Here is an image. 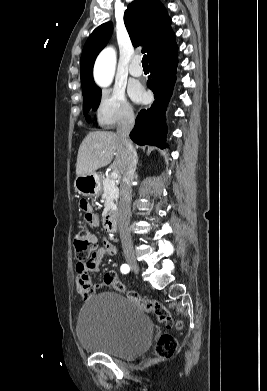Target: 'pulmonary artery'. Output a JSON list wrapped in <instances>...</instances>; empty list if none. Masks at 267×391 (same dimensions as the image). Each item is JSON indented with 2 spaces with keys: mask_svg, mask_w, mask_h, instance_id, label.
Returning a JSON list of instances; mask_svg holds the SVG:
<instances>
[{
  "mask_svg": "<svg viewBox=\"0 0 267 391\" xmlns=\"http://www.w3.org/2000/svg\"><path fill=\"white\" fill-rule=\"evenodd\" d=\"M140 56H135L129 66V73L134 77H139L143 74V69L140 66Z\"/></svg>",
  "mask_w": 267,
  "mask_h": 391,
  "instance_id": "obj_1",
  "label": "pulmonary artery"
}]
</instances>
